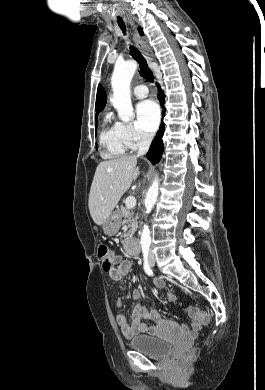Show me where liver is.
I'll return each instance as SVG.
<instances>
[{
  "mask_svg": "<svg viewBox=\"0 0 265 390\" xmlns=\"http://www.w3.org/2000/svg\"><path fill=\"white\" fill-rule=\"evenodd\" d=\"M137 156H123L98 164L89 194V211L95 224L102 225L122 195L139 175Z\"/></svg>",
  "mask_w": 265,
  "mask_h": 390,
  "instance_id": "obj_1",
  "label": "liver"
}]
</instances>
